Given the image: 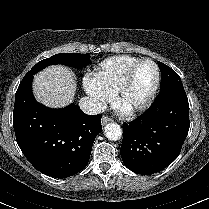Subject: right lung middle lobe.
I'll list each match as a JSON object with an SVG mask.
<instances>
[{
    "label": "right lung middle lobe",
    "instance_id": "dd1d6c3e",
    "mask_svg": "<svg viewBox=\"0 0 209 209\" xmlns=\"http://www.w3.org/2000/svg\"><path fill=\"white\" fill-rule=\"evenodd\" d=\"M90 62V55L78 53H61L38 62L24 77L27 78L43 68L53 64H64L75 68H83Z\"/></svg>",
    "mask_w": 209,
    "mask_h": 209
}]
</instances>
